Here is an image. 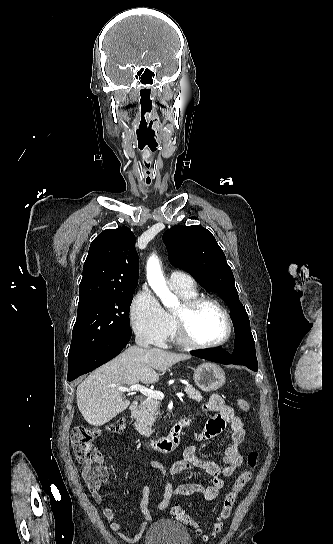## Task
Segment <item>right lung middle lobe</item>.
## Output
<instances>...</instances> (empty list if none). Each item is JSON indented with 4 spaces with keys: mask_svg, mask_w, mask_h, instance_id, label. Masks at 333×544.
Listing matches in <instances>:
<instances>
[{
    "mask_svg": "<svg viewBox=\"0 0 333 544\" xmlns=\"http://www.w3.org/2000/svg\"><path fill=\"white\" fill-rule=\"evenodd\" d=\"M134 292H107L78 304L68 361L84 355L110 336L131 332L129 309Z\"/></svg>",
    "mask_w": 333,
    "mask_h": 544,
    "instance_id": "1",
    "label": "right lung middle lobe"
}]
</instances>
